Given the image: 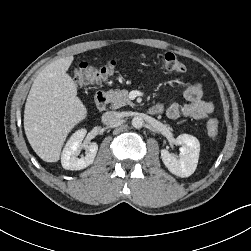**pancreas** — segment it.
<instances>
[{
  "label": "pancreas",
  "mask_w": 251,
  "mask_h": 251,
  "mask_svg": "<svg viewBox=\"0 0 251 251\" xmlns=\"http://www.w3.org/2000/svg\"><path fill=\"white\" fill-rule=\"evenodd\" d=\"M113 109H118L125 105L133 106V103L128 98L127 90H109L107 92Z\"/></svg>",
  "instance_id": "pancreas-1"
}]
</instances>
